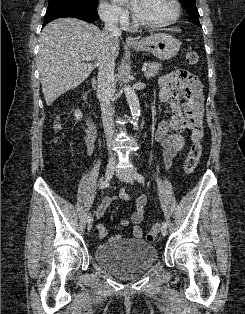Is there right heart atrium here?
Instances as JSON below:
<instances>
[{
	"mask_svg": "<svg viewBox=\"0 0 245 314\" xmlns=\"http://www.w3.org/2000/svg\"><path fill=\"white\" fill-rule=\"evenodd\" d=\"M99 12L102 19L114 26H124L128 21V13L116 5L104 0L100 3Z\"/></svg>",
	"mask_w": 245,
	"mask_h": 314,
	"instance_id": "right-heart-atrium-1",
	"label": "right heart atrium"
}]
</instances>
